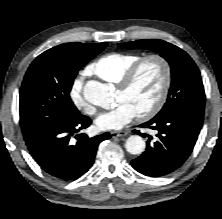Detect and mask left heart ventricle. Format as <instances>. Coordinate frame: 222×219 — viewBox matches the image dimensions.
<instances>
[{"label": "left heart ventricle", "mask_w": 222, "mask_h": 219, "mask_svg": "<svg viewBox=\"0 0 222 219\" xmlns=\"http://www.w3.org/2000/svg\"><path fill=\"white\" fill-rule=\"evenodd\" d=\"M163 82L162 69L156 61L146 62L132 86L123 91L118 89L117 103L127 102L138 113L150 108L156 101Z\"/></svg>", "instance_id": "1"}]
</instances>
